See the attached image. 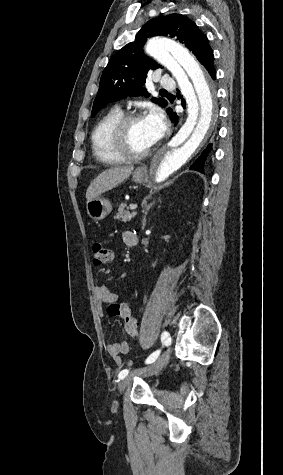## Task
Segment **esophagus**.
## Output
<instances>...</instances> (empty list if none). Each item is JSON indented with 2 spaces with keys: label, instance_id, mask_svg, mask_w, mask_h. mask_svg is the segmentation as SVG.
<instances>
[{
  "label": "esophagus",
  "instance_id": "obj_1",
  "mask_svg": "<svg viewBox=\"0 0 283 475\" xmlns=\"http://www.w3.org/2000/svg\"><path fill=\"white\" fill-rule=\"evenodd\" d=\"M158 159H159V155H155L153 160H152V163L156 162Z\"/></svg>",
  "mask_w": 283,
  "mask_h": 475
}]
</instances>
